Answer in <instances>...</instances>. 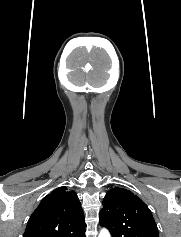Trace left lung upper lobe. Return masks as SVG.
<instances>
[{"label": "left lung upper lobe", "instance_id": "5c2ea615", "mask_svg": "<svg viewBox=\"0 0 181 237\" xmlns=\"http://www.w3.org/2000/svg\"><path fill=\"white\" fill-rule=\"evenodd\" d=\"M100 225L106 227L112 237H159L150 209L124 188H113L106 193Z\"/></svg>", "mask_w": 181, "mask_h": 237}]
</instances>
